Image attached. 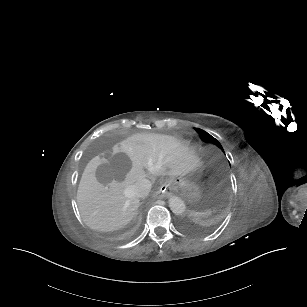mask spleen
<instances>
[{"mask_svg":"<svg viewBox=\"0 0 307 307\" xmlns=\"http://www.w3.org/2000/svg\"><path fill=\"white\" fill-rule=\"evenodd\" d=\"M215 211V210H214ZM188 213L190 214H192L194 217L196 216V217H198V216H200V217H203V216H209V215H211L212 214V211L211 210H207V211H202L200 214L198 213H196V212H193V211H188Z\"/></svg>","mask_w":307,"mask_h":307,"instance_id":"spleen-1","label":"spleen"}]
</instances>
